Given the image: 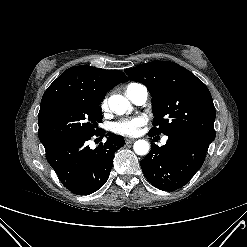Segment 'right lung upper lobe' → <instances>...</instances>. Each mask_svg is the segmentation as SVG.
Instances as JSON below:
<instances>
[{
  "label": "right lung upper lobe",
  "instance_id": "1",
  "mask_svg": "<svg viewBox=\"0 0 247 247\" xmlns=\"http://www.w3.org/2000/svg\"><path fill=\"white\" fill-rule=\"evenodd\" d=\"M127 81L128 78L120 70H104L89 65L71 67L45 91L40 111L80 97H94L103 100L109 90Z\"/></svg>",
  "mask_w": 247,
  "mask_h": 247
}]
</instances>
